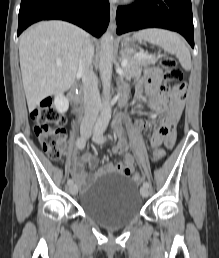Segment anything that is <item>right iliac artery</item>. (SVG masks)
<instances>
[{
  "label": "right iliac artery",
  "mask_w": 219,
  "mask_h": 258,
  "mask_svg": "<svg viewBox=\"0 0 219 258\" xmlns=\"http://www.w3.org/2000/svg\"><path fill=\"white\" fill-rule=\"evenodd\" d=\"M76 145L79 149H83L86 145V137L85 136H81L80 138L77 139L76 141ZM68 185H72L73 184V180L72 179H68L67 181Z\"/></svg>",
  "instance_id": "82829eb1"
}]
</instances>
